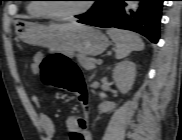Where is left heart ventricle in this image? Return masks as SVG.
<instances>
[{"label": "left heart ventricle", "mask_w": 182, "mask_h": 140, "mask_svg": "<svg viewBox=\"0 0 182 140\" xmlns=\"http://www.w3.org/2000/svg\"><path fill=\"white\" fill-rule=\"evenodd\" d=\"M57 2L51 4L52 8L61 13L74 12L81 9L85 3L82 0H56Z\"/></svg>", "instance_id": "left-heart-ventricle-1"}]
</instances>
